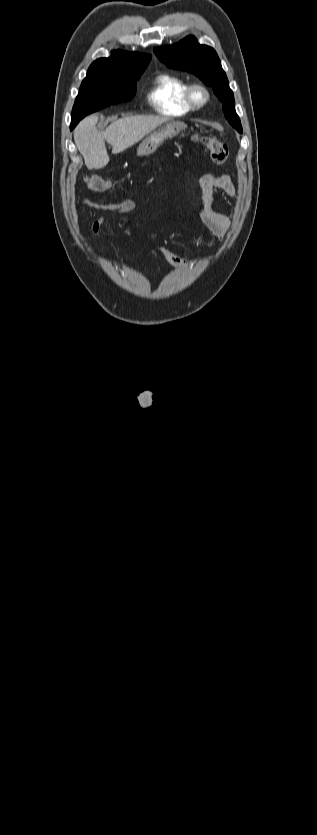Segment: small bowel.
<instances>
[{"label": "small bowel", "mask_w": 317, "mask_h": 835, "mask_svg": "<svg viewBox=\"0 0 317 835\" xmlns=\"http://www.w3.org/2000/svg\"><path fill=\"white\" fill-rule=\"evenodd\" d=\"M201 209L199 212L200 220L205 228L217 239L222 240L229 227V218L219 212L214 207V192L216 190L222 191L225 194L234 197L236 195V188L230 176L225 174L209 173L204 175L199 182ZM84 204L88 207H93L96 210H104L103 207L93 206L88 201ZM136 203L127 199L118 204L113 205L105 210H112L116 212H130L134 210ZM102 224V217L98 216L91 225V233L97 235ZM155 250L164 256L169 262L178 267H188L192 264L191 261L169 251L167 248L157 245Z\"/></svg>", "instance_id": "obj_1"}]
</instances>
